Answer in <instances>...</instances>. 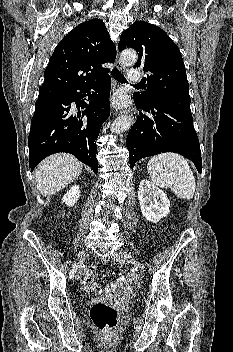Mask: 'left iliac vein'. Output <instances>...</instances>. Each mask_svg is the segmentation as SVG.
Here are the masks:
<instances>
[{
    "label": "left iliac vein",
    "mask_w": 233,
    "mask_h": 352,
    "mask_svg": "<svg viewBox=\"0 0 233 352\" xmlns=\"http://www.w3.org/2000/svg\"><path fill=\"white\" fill-rule=\"evenodd\" d=\"M117 261L122 264L130 263L133 264L138 275L142 276L144 274V266L134 259V257L127 252H119L114 254Z\"/></svg>",
    "instance_id": "left-iliac-vein-1"
}]
</instances>
